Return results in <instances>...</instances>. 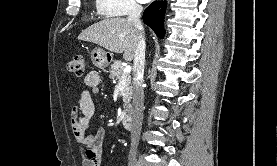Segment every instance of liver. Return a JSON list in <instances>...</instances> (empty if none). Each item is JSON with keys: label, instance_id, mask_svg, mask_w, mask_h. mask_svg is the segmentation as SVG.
<instances>
[{"label": "liver", "instance_id": "6515ba94", "mask_svg": "<svg viewBox=\"0 0 277 166\" xmlns=\"http://www.w3.org/2000/svg\"><path fill=\"white\" fill-rule=\"evenodd\" d=\"M142 36L143 33L133 23L116 17L91 25L80 33L78 39L97 44L110 52L123 53L126 61H132Z\"/></svg>", "mask_w": 277, "mask_h": 166}]
</instances>
